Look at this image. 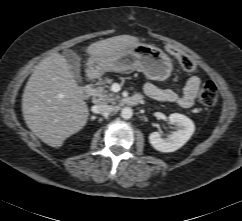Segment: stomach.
I'll use <instances>...</instances> for the list:
<instances>
[{
    "label": "stomach",
    "instance_id": "0dacf381",
    "mask_svg": "<svg viewBox=\"0 0 242 221\" xmlns=\"http://www.w3.org/2000/svg\"><path fill=\"white\" fill-rule=\"evenodd\" d=\"M172 68V61L166 53L144 43L128 46L119 55L92 56L87 63V73L92 77H100L108 71L137 69L147 78L158 81L169 78Z\"/></svg>",
    "mask_w": 242,
    "mask_h": 221
}]
</instances>
